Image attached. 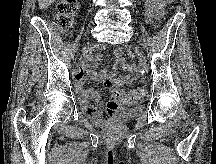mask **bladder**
I'll return each mask as SVG.
<instances>
[{"mask_svg":"<svg viewBox=\"0 0 216 164\" xmlns=\"http://www.w3.org/2000/svg\"><path fill=\"white\" fill-rule=\"evenodd\" d=\"M140 112L139 107L123 106L116 109L111 117L106 120L98 122L105 125H116L125 123L131 116Z\"/></svg>","mask_w":216,"mask_h":164,"instance_id":"bladder-1","label":"bladder"}]
</instances>
